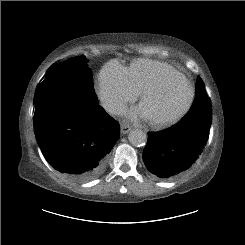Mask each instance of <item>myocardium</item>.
<instances>
[{
    "instance_id": "obj_1",
    "label": "myocardium",
    "mask_w": 245,
    "mask_h": 245,
    "mask_svg": "<svg viewBox=\"0 0 245 245\" xmlns=\"http://www.w3.org/2000/svg\"><path fill=\"white\" fill-rule=\"evenodd\" d=\"M174 76H180L185 79L190 88V97L185 106L174 115L161 119H148L149 123L155 127H167L175 124L189 112L195 101L196 91L189 77L179 70H173L169 73L164 74L155 83L143 90V92L141 93L140 104L142 105L148 97L159 92L164 87V85Z\"/></svg>"
}]
</instances>
